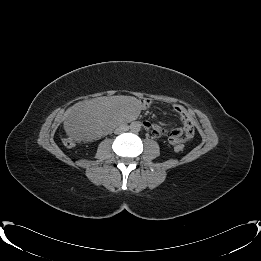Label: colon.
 Returning <instances> with one entry per match:
<instances>
[{"label":"colon","mask_w":261,"mask_h":261,"mask_svg":"<svg viewBox=\"0 0 261 261\" xmlns=\"http://www.w3.org/2000/svg\"><path fill=\"white\" fill-rule=\"evenodd\" d=\"M170 142L174 145L175 150L180 151L183 149L184 145V138L183 137H177V136H171Z\"/></svg>","instance_id":"colon-1"}]
</instances>
